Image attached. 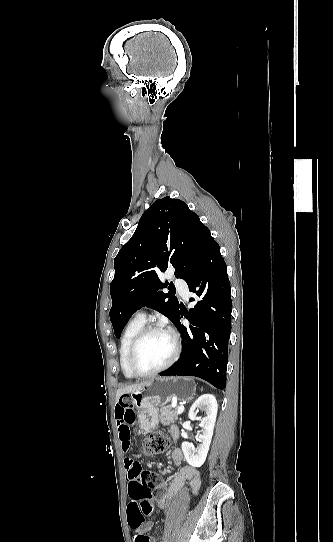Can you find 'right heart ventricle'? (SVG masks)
Segmentation results:
<instances>
[{
    "instance_id": "e07e8e85",
    "label": "right heart ventricle",
    "mask_w": 333,
    "mask_h": 542,
    "mask_svg": "<svg viewBox=\"0 0 333 542\" xmlns=\"http://www.w3.org/2000/svg\"><path fill=\"white\" fill-rule=\"evenodd\" d=\"M144 326L145 321H140L135 318L132 319L126 326L121 338L119 363L124 377L128 379L133 378V376L129 372L127 364L129 348L135 337L143 329Z\"/></svg>"
}]
</instances>
